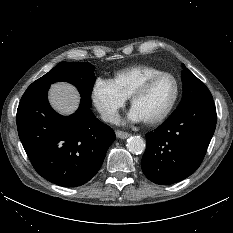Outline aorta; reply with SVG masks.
<instances>
[{"mask_svg": "<svg viewBox=\"0 0 233 233\" xmlns=\"http://www.w3.org/2000/svg\"><path fill=\"white\" fill-rule=\"evenodd\" d=\"M127 148L133 154H141L146 147L145 141L140 136H132L127 140Z\"/></svg>", "mask_w": 233, "mask_h": 233, "instance_id": "1", "label": "aorta"}]
</instances>
